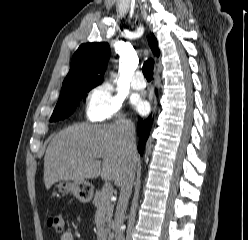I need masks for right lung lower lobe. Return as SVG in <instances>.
<instances>
[{
	"instance_id": "1",
	"label": "right lung lower lobe",
	"mask_w": 248,
	"mask_h": 240,
	"mask_svg": "<svg viewBox=\"0 0 248 240\" xmlns=\"http://www.w3.org/2000/svg\"><path fill=\"white\" fill-rule=\"evenodd\" d=\"M156 94H157V90H156ZM150 120H151V115L147 119H142L140 117L138 118V126H137V133L139 136L138 151L141 155L143 154L145 144L151 130L152 122H150Z\"/></svg>"
}]
</instances>
